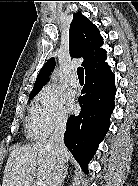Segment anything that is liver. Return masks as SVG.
I'll use <instances>...</instances> for the list:
<instances>
[{
  "label": "liver",
  "instance_id": "6515ba94",
  "mask_svg": "<svg viewBox=\"0 0 138 186\" xmlns=\"http://www.w3.org/2000/svg\"><path fill=\"white\" fill-rule=\"evenodd\" d=\"M70 156L66 149V162ZM55 160L56 155L47 141L14 148L5 166L2 186H30L35 176L48 186Z\"/></svg>",
  "mask_w": 138,
  "mask_h": 186
}]
</instances>
